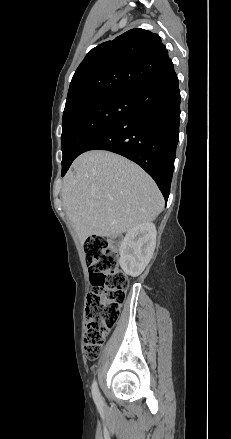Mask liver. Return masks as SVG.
<instances>
[{
	"label": "liver",
	"instance_id": "obj_1",
	"mask_svg": "<svg viewBox=\"0 0 231 439\" xmlns=\"http://www.w3.org/2000/svg\"><path fill=\"white\" fill-rule=\"evenodd\" d=\"M65 212L81 242L109 237L152 222L164 199L153 179L138 165L108 151L77 157L63 181Z\"/></svg>",
	"mask_w": 231,
	"mask_h": 439
}]
</instances>
